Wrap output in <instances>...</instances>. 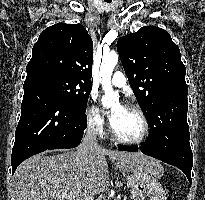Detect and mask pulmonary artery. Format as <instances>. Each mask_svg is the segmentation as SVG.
Instances as JSON below:
<instances>
[{
  "instance_id": "e3ab8cb5",
  "label": "pulmonary artery",
  "mask_w": 205,
  "mask_h": 200,
  "mask_svg": "<svg viewBox=\"0 0 205 200\" xmlns=\"http://www.w3.org/2000/svg\"><path fill=\"white\" fill-rule=\"evenodd\" d=\"M111 83L116 87L122 88L126 85L127 80L122 72L117 71L113 74L111 78Z\"/></svg>"
}]
</instances>
